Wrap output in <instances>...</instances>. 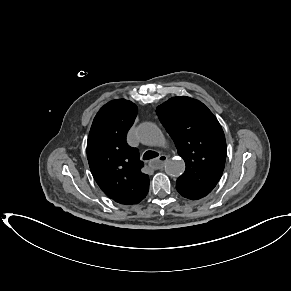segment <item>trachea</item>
I'll return each mask as SVG.
<instances>
[{
    "label": "trachea",
    "mask_w": 291,
    "mask_h": 291,
    "mask_svg": "<svg viewBox=\"0 0 291 291\" xmlns=\"http://www.w3.org/2000/svg\"><path fill=\"white\" fill-rule=\"evenodd\" d=\"M158 156L157 152L154 151H146L143 155V160H149Z\"/></svg>",
    "instance_id": "1"
}]
</instances>
